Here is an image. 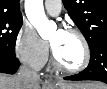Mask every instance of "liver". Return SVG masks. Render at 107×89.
I'll return each instance as SVG.
<instances>
[{
  "label": "liver",
  "mask_w": 107,
  "mask_h": 89,
  "mask_svg": "<svg viewBox=\"0 0 107 89\" xmlns=\"http://www.w3.org/2000/svg\"><path fill=\"white\" fill-rule=\"evenodd\" d=\"M40 80H25L17 75H0V89H41ZM58 84H65L59 82ZM81 85L82 89H106V85L101 83L76 84Z\"/></svg>",
  "instance_id": "1"
}]
</instances>
